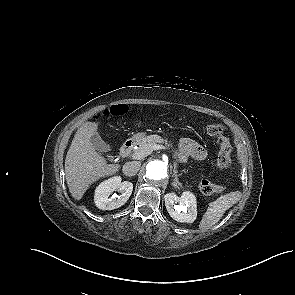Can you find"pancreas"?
Returning <instances> with one entry per match:
<instances>
[{
  "label": "pancreas",
  "instance_id": "obj_1",
  "mask_svg": "<svg viewBox=\"0 0 295 295\" xmlns=\"http://www.w3.org/2000/svg\"><path fill=\"white\" fill-rule=\"evenodd\" d=\"M165 143V145L168 148L173 147L172 143L169 142L167 139H164L162 137H160L159 135H150L145 137L141 142L138 143L139 147L137 150L134 151L135 153H142L145 156L149 155L152 152V146L156 145V144H162ZM173 157L176 159L177 158V152L174 150V155ZM174 171L175 173H177L176 169L178 167V163L177 161L174 162ZM177 177V175H176ZM179 185L181 186V183H179Z\"/></svg>",
  "mask_w": 295,
  "mask_h": 295
}]
</instances>
